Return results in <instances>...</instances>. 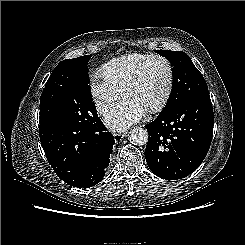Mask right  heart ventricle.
Masks as SVG:
<instances>
[{
	"mask_svg": "<svg viewBox=\"0 0 245 245\" xmlns=\"http://www.w3.org/2000/svg\"><path fill=\"white\" fill-rule=\"evenodd\" d=\"M149 56L148 54L132 53L114 58L103 65L102 73L113 85L123 90L138 67Z\"/></svg>",
	"mask_w": 245,
	"mask_h": 245,
	"instance_id": "1",
	"label": "right heart ventricle"
}]
</instances>
